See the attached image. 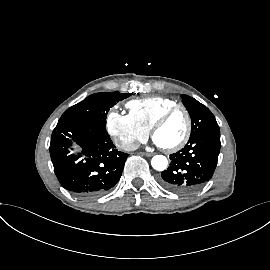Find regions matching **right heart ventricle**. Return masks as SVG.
I'll return each instance as SVG.
<instances>
[{
	"instance_id": "e07e8e85",
	"label": "right heart ventricle",
	"mask_w": 270,
	"mask_h": 270,
	"mask_svg": "<svg viewBox=\"0 0 270 270\" xmlns=\"http://www.w3.org/2000/svg\"><path fill=\"white\" fill-rule=\"evenodd\" d=\"M176 104H178L177 101L171 98L146 97L129 101L127 108L138 124L150 130L156 119Z\"/></svg>"
}]
</instances>
